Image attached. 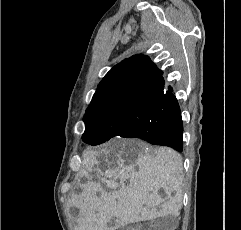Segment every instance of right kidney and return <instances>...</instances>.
Returning <instances> with one entry per match:
<instances>
[{
    "label": "right kidney",
    "mask_w": 241,
    "mask_h": 230,
    "mask_svg": "<svg viewBox=\"0 0 241 230\" xmlns=\"http://www.w3.org/2000/svg\"><path fill=\"white\" fill-rule=\"evenodd\" d=\"M122 230H129L128 228H123Z\"/></svg>",
    "instance_id": "obj_1"
}]
</instances>
